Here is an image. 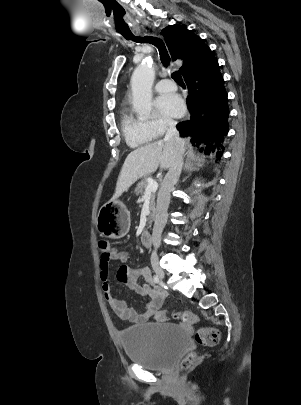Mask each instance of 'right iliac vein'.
Instances as JSON below:
<instances>
[{"instance_id": "obj_1", "label": "right iliac vein", "mask_w": 301, "mask_h": 405, "mask_svg": "<svg viewBox=\"0 0 301 405\" xmlns=\"http://www.w3.org/2000/svg\"><path fill=\"white\" fill-rule=\"evenodd\" d=\"M151 264L153 267V270L155 271L156 275L160 278V279H164L165 274L164 271L162 270V268L159 266V262L158 259L156 257H153L151 259Z\"/></svg>"}]
</instances>
